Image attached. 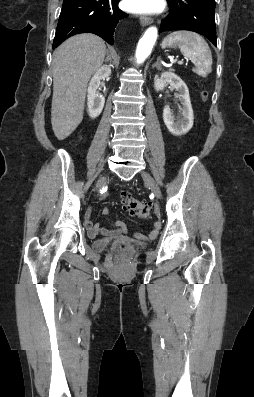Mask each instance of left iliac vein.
<instances>
[{
	"mask_svg": "<svg viewBox=\"0 0 254 397\" xmlns=\"http://www.w3.org/2000/svg\"><path fill=\"white\" fill-rule=\"evenodd\" d=\"M141 176H142L145 184L154 193L155 197L157 199H161V191H160L158 185L156 184L155 180L152 178V176L147 172H142Z\"/></svg>",
	"mask_w": 254,
	"mask_h": 397,
	"instance_id": "left-iliac-vein-1",
	"label": "left iliac vein"
}]
</instances>
